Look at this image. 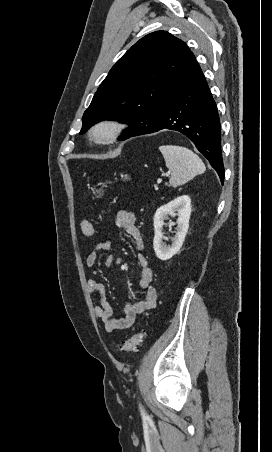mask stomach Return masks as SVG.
<instances>
[{"mask_svg":"<svg viewBox=\"0 0 272 452\" xmlns=\"http://www.w3.org/2000/svg\"><path fill=\"white\" fill-rule=\"evenodd\" d=\"M121 178L123 179V180H128L129 179V177H128V175L127 174H125V175H121ZM95 194H99L97 197H100L101 196V190H97L96 192H95Z\"/></svg>","mask_w":272,"mask_h":452,"instance_id":"1","label":"stomach"}]
</instances>
